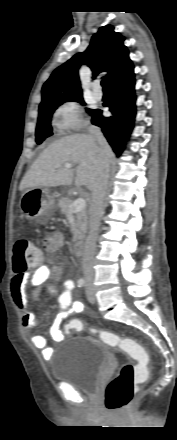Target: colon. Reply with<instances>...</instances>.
Here are the masks:
<instances>
[{
	"mask_svg": "<svg viewBox=\"0 0 177 440\" xmlns=\"http://www.w3.org/2000/svg\"><path fill=\"white\" fill-rule=\"evenodd\" d=\"M42 252L28 238L18 239L13 247V269L17 273L27 271L30 267L41 263ZM85 324L78 318L70 319L64 326L66 333L80 332ZM92 334L98 336L105 344L129 353L138 363H126L121 366L118 374L109 382L104 393V403L112 411L122 410L132 401L137 385L143 382L148 370L144 363L148 359L145 348L136 341L108 331L90 328Z\"/></svg>",
	"mask_w": 177,
	"mask_h": 440,
	"instance_id": "colon-1",
	"label": "colon"
}]
</instances>
